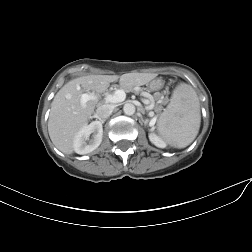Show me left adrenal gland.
<instances>
[{"instance_id":"obj_1","label":"left adrenal gland","mask_w":252,"mask_h":252,"mask_svg":"<svg viewBox=\"0 0 252 252\" xmlns=\"http://www.w3.org/2000/svg\"><path fill=\"white\" fill-rule=\"evenodd\" d=\"M148 122H149V120H146V121H145V124H147Z\"/></svg>"}]
</instances>
